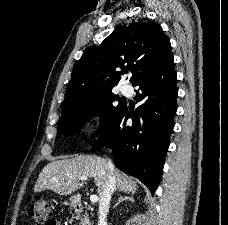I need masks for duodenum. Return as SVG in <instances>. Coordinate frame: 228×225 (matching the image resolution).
Returning <instances> with one entry per match:
<instances>
[{
  "label": "duodenum",
  "instance_id": "obj_1",
  "mask_svg": "<svg viewBox=\"0 0 228 225\" xmlns=\"http://www.w3.org/2000/svg\"><path fill=\"white\" fill-rule=\"evenodd\" d=\"M71 204H72V207L76 210V211H82L83 210V204L80 200V198L78 197H73L72 200H71Z\"/></svg>",
  "mask_w": 228,
  "mask_h": 225
}]
</instances>
